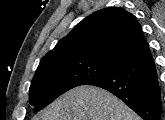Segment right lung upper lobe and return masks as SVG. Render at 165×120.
Wrapping results in <instances>:
<instances>
[{
  "mask_svg": "<svg viewBox=\"0 0 165 120\" xmlns=\"http://www.w3.org/2000/svg\"><path fill=\"white\" fill-rule=\"evenodd\" d=\"M148 46L135 17L120 7L99 10L82 20L40 64L87 58L120 64Z\"/></svg>",
  "mask_w": 165,
  "mask_h": 120,
  "instance_id": "obj_1",
  "label": "right lung upper lobe"
}]
</instances>
